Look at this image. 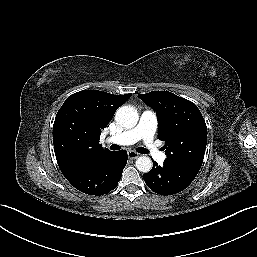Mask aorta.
Returning <instances> with one entry per match:
<instances>
[{
    "instance_id": "aorta-1",
    "label": "aorta",
    "mask_w": 257,
    "mask_h": 257,
    "mask_svg": "<svg viewBox=\"0 0 257 257\" xmlns=\"http://www.w3.org/2000/svg\"><path fill=\"white\" fill-rule=\"evenodd\" d=\"M115 119L123 128L131 129L136 126L139 116L135 108L131 106H122L117 110ZM152 165V160L147 156H140L136 160L137 169L143 173L149 172Z\"/></svg>"
}]
</instances>
